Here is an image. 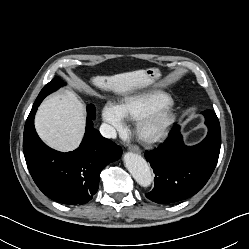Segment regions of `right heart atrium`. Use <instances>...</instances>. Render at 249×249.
Returning <instances> with one entry per match:
<instances>
[{
	"mask_svg": "<svg viewBox=\"0 0 249 249\" xmlns=\"http://www.w3.org/2000/svg\"><path fill=\"white\" fill-rule=\"evenodd\" d=\"M103 119L112 132L122 131L125 128V117L122 115L117 104L108 103L105 105Z\"/></svg>",
	"mask_w": 249,
	"mask_h": 249,
	"instance_id": "d8ad5b80",
	"label": "right heart atrium"
}]
</instances>
